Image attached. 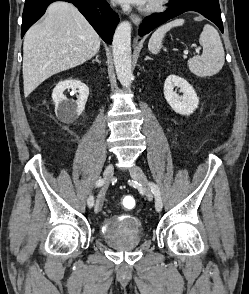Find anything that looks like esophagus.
<instances>
[{
	"mask_svg": "<svg viewBox=\"0 0 249 294\" xmlns=\"http://www.w3.org/2000/svg\"><path fill=\"white\" fill-rule=\"evenodd\" d=\"M130 19L135 25H139L141 22V18L137 14H131Z\"/></svg>",
	"mask_w": 249,
	"mask_h": 294,
	"instance_id": "esophagus-1",
	"label": "esophagus"
}]
</instances>
